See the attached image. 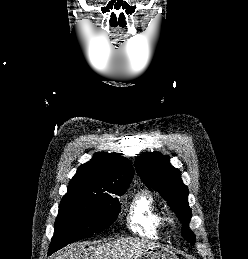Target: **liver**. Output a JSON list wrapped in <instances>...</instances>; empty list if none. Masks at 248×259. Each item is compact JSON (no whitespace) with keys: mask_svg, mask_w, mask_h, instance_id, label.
Here are the masks:
<instances>
[{"mask_svg":"<svg viewBox=\"0 0 248 259\" xmlns=\"http://www.w3.org/2000/svg\"><path fill=\"white\" fill-rule=\"evenodd\" d=\"M155 244L143 238H120L85 248L83 243L69 245L56 253L54 259H137Z\"/></svg>","mask_w":248,"mask_h":259,"instance_id":"obj_1","label":"liver"}]
</instances>
